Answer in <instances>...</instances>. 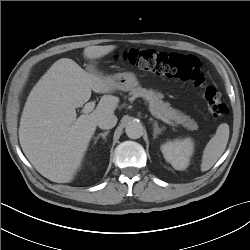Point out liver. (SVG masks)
<instances>
[{"label": "liver", "instance_id": "obj_1", "mask_svg": "<svg viewBox=\"0 0 250 250\" xmlns=\"http://www.w3.org/2000/svg\"><path fill=\"white\" fill-rule=\"evenodd\" d=\"M115 45L89 46L86 59L101 58ZM114 82L94 65L82 69L74 60L61 58L41 77L25 103L19 126L21 148L34 168L56 183L71 182L93 137L98 119L113 114L119 98L103 95L97 108L77 118L76 108L91 97V91L109 93Z\"/></svg>", "mask_w": 250, "mask_h": 250}]
</instances>
